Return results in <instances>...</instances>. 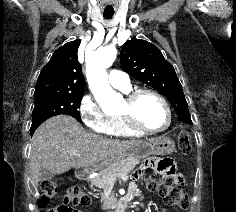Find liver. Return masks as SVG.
Listing matches in <instances>:
<instances>
[{
	"label": "liver",
	"mask_w": 236,
	"mask_h": 212,
	"mask_svg": "<svg viewBox=\"0 0 236 212\" xmlns=\"http://www.w3.org/2000/svg\"><path fill=\"white\" fill-rule=\"evenodd\" d=\"M143 142L107 139L86 132L71 116L57 115L42 123L32 137L31 181L38 185L42 168L54 174H62L72 168H99L107 160L123 156ZM71 150L78 151L79 155H70Z\"/></svg>",
	"instance_id": "obj_1"
}]
</instances>
